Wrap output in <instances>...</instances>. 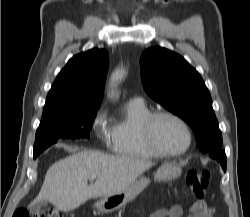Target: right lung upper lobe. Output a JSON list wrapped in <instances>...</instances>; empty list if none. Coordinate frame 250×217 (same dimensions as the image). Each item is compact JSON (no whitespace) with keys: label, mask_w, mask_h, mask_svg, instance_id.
<instances>
[{"label":"right lung upper lobe","mask_w":250,"mask_h":217,"mask_svg":"<svg viewBox=\"0 0 250 217\" xmlns=\"http://www.w3.org/2000/svg\"><path fill=\"white\" fill-rule=\"evenodd\" d=\"M109 65L108 52L91 49L73 56L56 77L42 117L99 108Z\"/></svg>","instance_id":"1"}]
</instances>
